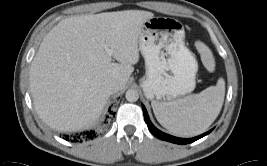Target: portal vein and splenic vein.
<instances>
[{"instance_id": "18ae733b", "label": "portal vein and splenic vein", "mask_w": 267, "mask_h": 166, "mask_svg": "<svg viewBox=\"0 0 267 166\" xmlns=\"http://www.w3.org/2000/svg\"><path fill=\"white\" fill-rule=\"evenodd\" d=\"M104 48L106 50V52L111 55L113 53V51L111 49H109L106 45H104Z\"/></svg>"}]
</instances>
